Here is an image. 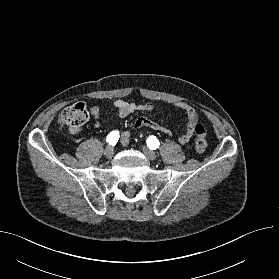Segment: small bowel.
I'll list each match as a JSON object with an SVG mask.
<instances>
[{
  "label": "small bowel",
  "mask_w": 279,
  "mask_h": 279,
  "mask_svg": "<svg viewBox=\"0 0 279 279\" xmlns=\"http://www.w3.org/2000/svg\"><path fill=\"white\" fill-rule=\"evenodd\" d=\"M173 105L176 108H178L179 110H181L184 113V115L186 116V121H187L186 129L178 137V140L181 144H187L188 142H190V140L194 134L195 127L198 124V121H199L198 113L193 106H191L190 104H188L186 102L179 101V102H175ZM112 108L116 111L118 117L124 118L136 111L151 113L154 111L155 106H154V104H152L150 102L137 104L134 102H129V101L119 99V100H116L113 102ZM90 114L94 120V126L101 127L103 125V123L100 121L101 111H100L99 107H97V106L91 107ZM142 127L150 128L152 130H155L159 133H162V134H165L168 136L172 135V132L168 127H166L163 124L154 122L146 117H139L134 122V128L139 129ZM129 139H130V133L124 132L122 135V143L128 144Z\"/></svg>",
  "instance_id": "obj_1"
}]
</instances>
